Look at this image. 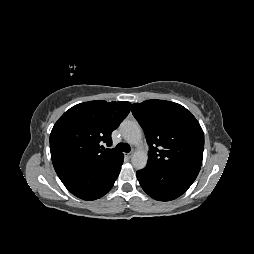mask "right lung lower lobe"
Listing matches in <instances>:
<instances>
[{"mask_svg":"<svg viewBox=\"0 0 254 254\" xmlns=\"http://www.w3.org/2000/svg\"><path fill=\"white\" fill-rule=\"evenodd\" d=\"M123 155L96 165H78L57 172L65 187L76 197L95 200L108 193L117 179Z\"/></svg>","mask_w":254,"mask_h":254,"instance_id":"1","label":"right lung lower lobe"}]
</instances>
